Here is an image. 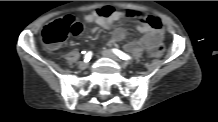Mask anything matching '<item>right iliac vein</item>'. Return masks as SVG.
I'll use <instances>...</instances> for the list:
<instances>
[{"mask_svg":"<svg viewBox=\"0 0 218 122\" xmlns=\"http://www.w3.org/2000/svg\"><path fill=\"white\" fill-rule=\"evenodd\" d=\"M78 67H79V69L84 70L88 67V63L87 62H80Z\"/></svg>","mask_w":218,"mask_h":122,"instance_id":"1","label":"right iliac vein"}]
</instances>
